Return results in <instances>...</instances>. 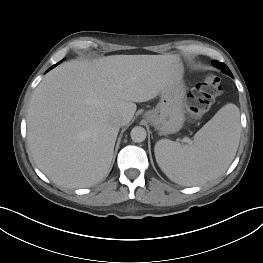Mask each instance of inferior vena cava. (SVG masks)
<instances>
[{
  "label": "inferior vena cava",
  "mask_w": 263,
  "mask_h": 263,
  "mask_svg": "<svg viewBox=\"0 0 263 263\" xmlns=\"http://www.w3.org/2000/svg\"><path fill=\"white\" fill-rule=\"evenodd\" d=\"M113 123L117 126H123L124 125V119L121 116H116L113 118Z\"/></svg>",
  "instance_id": "1"
}]
</instances>
